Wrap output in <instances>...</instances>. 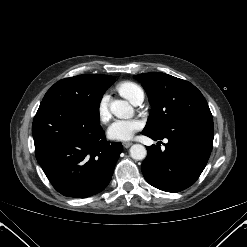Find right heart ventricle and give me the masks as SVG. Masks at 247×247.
Masks as SVG:
<instances>
[{"label": "right heart ventricle", "instance_id": "1", "mask_svg": "<svg viewBox=\"0 0 247 247\" xmlns=\"http://www.w3.org/2000/svg\"><path fill=\"white\" fill-rule=\"evenodd\" d=\"M118 92L133 103L140 95L143 94V91L139 85L131 81H124L118 84Z\"/></svg>", "mask_w": 247, "mask_h": 247}]
</instances>
